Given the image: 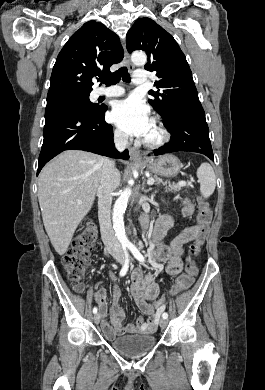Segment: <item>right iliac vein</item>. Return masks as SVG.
<instances>
[{"label":"right iliac vein","mask_w":265,"mask_h":390,"mask_svg":"<svg viewBox=\"0 0 265 390\" xmlns=\"http://www.w3.org/2000/svg\"><path fill=\"white\" fill-rule=\"evenodd\" d=\"M116 261H117L118 263H120V264H123L124 258H123L122 256H117V257H116ZM94 322H95L96 324H99V322H100V314H99V313H96V314L94 315Z\"/></svg>","instance_id":"obj_1"}]
</instances>
